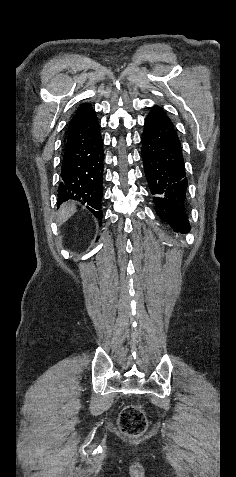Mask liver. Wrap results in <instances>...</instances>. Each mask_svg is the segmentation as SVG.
I'll return each instance as SVG.
<instances>
[{
    "instance_id": "1",
    "label": "liver",
    "mask_w": 236,
    "mask_h": 477,
    "mask_svg": "<svg viewBox=\"0 0 236 477\" xmlns=\"http://www.w3.org/2000/svg\"><path fill=\"white\" fill-rule=\"evenodd\" d=\"M76 212V206L71 203H64L57 213V223L58 225L66 222L74 213Z\"/></svg>"
}]
</instances>
